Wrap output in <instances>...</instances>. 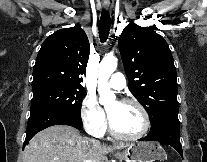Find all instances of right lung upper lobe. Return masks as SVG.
Segmentation results:
<instances>
[{
	"label": "right lung upper lobe",
	"instance_id": "1",
	"mask_svg": "<svg viewBox=\"0 0 207 162\" xmlns=\"http://www.w3.org/2000/svg\"><path fill=\"white\" fill-rule=\"evenodd\" d=\"M89 53L88 38L79 25L56 31L43 42L37 55L33 88L54 84L83 89Z\"/></svg>",
	"mask_w": 207,
	"mask_h": 162
}]
</instances>
